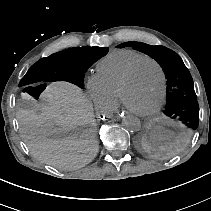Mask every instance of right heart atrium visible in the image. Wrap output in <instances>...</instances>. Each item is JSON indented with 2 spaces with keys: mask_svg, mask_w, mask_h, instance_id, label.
<instances>
[{
  "mask_svg": "<svg viewBox=\"0 0 211 211\" xmlns=\"http://www.w3.org/2000/svg\"><path fill=\"white\" fill-rule=\"evenodd\" d=\"M87 89L96 108L99 111L102 112L107 111L113 107L109 93L107 92L105 87L101 84L96 75H93L88 79Z\"/></svg>",
  "mask_w": 211,
  "mask_h": 211,
  "instance_id": "1",
  "label": "right heart atrium"
}]
</instances>
